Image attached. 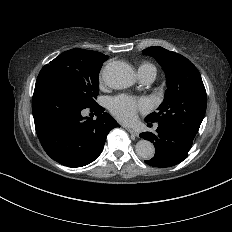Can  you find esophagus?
Here are the masks:
<instances>
[{"label": "esophagus", "mask_w": 232, "mask_h": 232, "mask_svg": "<svg viewBox=\"0 0 232 232\" xmlns=\"http://www.w3.org/2000/svg\"><path fill=\"white\" fill-rule=\"evenodd\" d=\"M126 130H127L128 132H130L131 134H133L134 136H138V135H139L138 132H136L135 130H133V129H131V128H126Z\"/></svg>", "instance_id": "esophagus-1"}]
</instances>
